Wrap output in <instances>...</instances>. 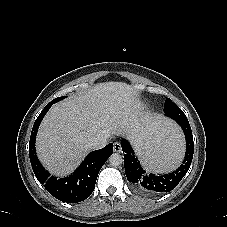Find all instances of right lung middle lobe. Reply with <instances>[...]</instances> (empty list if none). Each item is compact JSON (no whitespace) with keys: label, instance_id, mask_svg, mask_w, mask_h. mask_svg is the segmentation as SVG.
<instances>
[{"label":"right lung middle lobe","instance_id":"obj_1","mask_svg":"<svg viewBox=\"0 0 227 227\" xmlns=\"http://www.w3.org/2000/svg\"><path fill=\"white\" fill-rule=\"evenodd\" d=\"M65 97H66V96L58 97V98L52 100L51 102L56 103V102H58V101L64 99Z\"/></svg>","mask_w":227,"mask_h":227}]
</instances>
